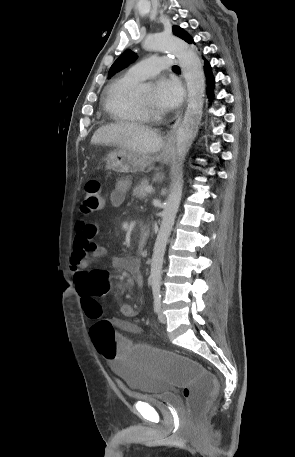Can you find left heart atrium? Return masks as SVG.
<instances>
[{
	"instance_id": "39dd6f15",
	"label": "left heart atrium",
	"mask_w": 295,
	"mask_h": 457,
	"mask_svg": "<svg viewBox=\"0 0 295 457\" xmlns=\"http://www.w3.org/2000/svg\"><path fill=\"white\" fill-rule=\"evenodd\" d=\"M181 98V89L175 81L162 78L156 82L153 104L158 109L163 111L171 110L180 103Z\"/></svg>"
}]
</instances>
